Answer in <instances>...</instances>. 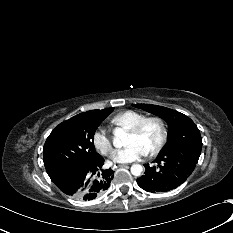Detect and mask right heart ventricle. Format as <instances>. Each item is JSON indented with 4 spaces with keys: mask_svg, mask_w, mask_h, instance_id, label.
<instances>
[{
    "mask_svg": "<svg viewBox=\"0 0 233 233\" xmlns=\"http://www.w3.org/2000/svg\"><path fill=\"white\" fill-rule=\"evenodd\" d=\"M145 117L146 115L141 112L134 110H126L115 115L112 118V124L116 128L129 129L134 125H136L137 123H139Z\"/></svg>",
    "mask_w": 233,
    "mask_h": 233,
    "instance_id": "obj_1",
    "label": "right heart ventricle"
}]
</instances>
